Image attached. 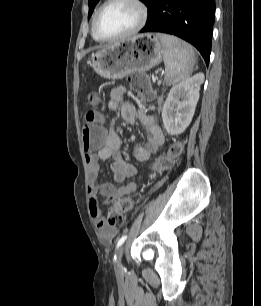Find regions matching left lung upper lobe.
Instances as JSON below:
<instances>
[{"label":"left lung upper lobe","instance_id":"1","mask_svg":"<svg viewBox=\"0 0 261 306\" xmlns=\"http://www.w3.org/2000/svg\"><path fill=\"white\" fill-rule=\"evenodd\" d=\"M140 1H142L147 6L151 0H140ZM88 2H89V17L88 18H90L95 8V5L99 2V0H88Z\"/></svg>","mask_w":261,"mask_h":306}]
</instances>
